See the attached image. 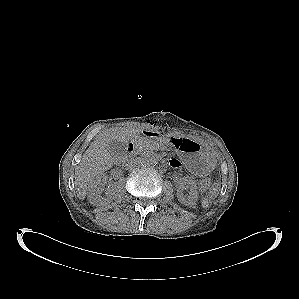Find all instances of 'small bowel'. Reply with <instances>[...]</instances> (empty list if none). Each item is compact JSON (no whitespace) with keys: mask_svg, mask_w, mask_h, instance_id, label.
<instances>
[{"mask_svg":"<svg viewBox=\"0 0 299 299\" xmlns=\"http://www.w3.org/2000/svg\"><path fill=\"white\" fill-rule=\"evenodd\" d=\"M171 163L173 166H178V161H176V160H172Z\"/></svg>","mask_w":299,"mask_h":299,"instance_id":"c3829d8e","label":"small bowel"}]
</instances>
